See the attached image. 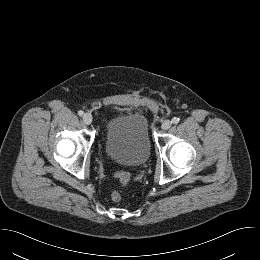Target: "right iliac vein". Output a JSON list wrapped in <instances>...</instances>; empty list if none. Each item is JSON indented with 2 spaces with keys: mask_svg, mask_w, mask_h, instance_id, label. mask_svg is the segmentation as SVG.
Returning a JSON list of instances; mask_svg holds the SVG:
<instances>
[{
  "mask_svg": "<svg viewBox=\"0 0 260 260\" xmlns=\"http://www.w3.org/2000/svg\"><path fill=\"white\" fill-rule=\"evenodd\" d=\"M92 115L90 113H86L83 115V121L85 122V124L89 125L92 123Z\"/></svg>",
  "mask_w": 260,
  "mask_h": 260,
  "instance_id": "obj_1",
  "label": "right iliac vein"
}]
</instances>
